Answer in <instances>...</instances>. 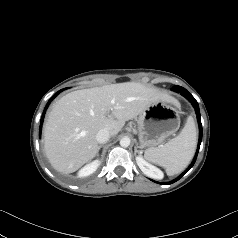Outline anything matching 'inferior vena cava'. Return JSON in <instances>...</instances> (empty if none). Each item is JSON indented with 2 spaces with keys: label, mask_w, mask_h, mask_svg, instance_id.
Segmentation results:
<instances>
[{
  "label": "inferior vena cava",
  "mask_w": 238,
  "mask_h": 238,
  "mask_svg": "<svg viewBox=\"0 0 238 238\" xmlns=\"http://www.w3.org/2000/svg\"><path fill=\"white\" fill-rule=\"evenodd\" d=\"M110 138V133L107 129H101L96 134V140L98 143H106Z\"/></svg>",
  "instance_id": "602c4592"
}]
</instances>
